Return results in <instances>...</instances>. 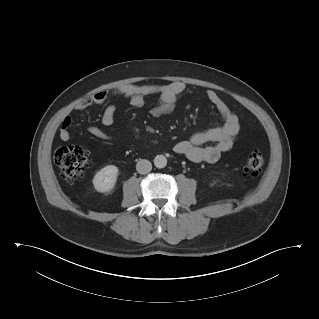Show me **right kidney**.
Listing matches in <instances>:
<instances>
[{
	"label": "right kidney",
	"instance_id": "ca27d5eb",
	"mask_svg": "<svg viewBox=\"0 0 319 319\" xmlns=\"http://www.w3.org/2000/svg\"><path fill=\"white\" fill-rule=\"evenodd\" d=\"M118 175V168L108 165L96 173L93 178V185L98 192H108L113 189Z\"/></svg>",
	"mask_w": 319,
	"mask_h": 319
}]
</instances>
